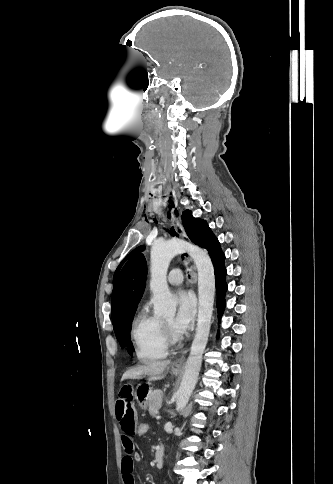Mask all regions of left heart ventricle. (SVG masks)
Returning a JSON list of instances; mask_svg holds the SVG:
<instances>
[{"instance_id": "left-heart-ventricle-1", "label": "left heart ventricle", "mask_w": 333, "mask_h": 484, "mask_svg": "<svg viewBox=\"0 0 333 484\" xmlns=\"http://www.w3.org/2000/svg\"><path fill=\"white\" fill-rule=\"evenodd\" d=\"M165 321H167L168 323H170L172 325V321H173V316L170 315L168 317L165 318Z\"/></svg>"}]
</instances>
